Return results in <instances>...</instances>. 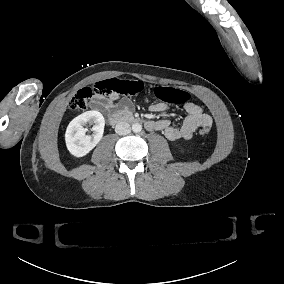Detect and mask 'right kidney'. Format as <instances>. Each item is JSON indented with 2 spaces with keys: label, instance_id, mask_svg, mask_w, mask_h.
Segmentation results:
<instances>
[{
  "label": "right kidney",
  "instance_id": "right-kidney-1",
  "mask_svg": "<svg viewBox=\"0 0 284 284\" xmlns=\"http://www.w3.org/2000/svg\"><path fill=\"white\" fill-rule=\"evenodd\" d=\"M87 122L94 124L92 135H86L87 129L83 126ZM104 126V117L98 111H87L74 118L69 123L65 133L66 146L69 152L76 157L86 155L102 139Z\"/></svg>",
  "mask_w": 284,
  "mask_h": 284
}]
</instances>
